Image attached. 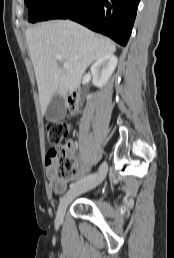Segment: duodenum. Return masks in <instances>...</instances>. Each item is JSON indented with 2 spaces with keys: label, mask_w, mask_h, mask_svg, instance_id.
<instances>
[{
  "label": "duodenum",
  "mask_w": 174,
  "mask_h": 258,
  "mask_svg": "<svg viewBox=\"0 0 174 258\" xmlns=\"http://www.w3.org/2000/svg\"><path fill=\"white\" fill-rule=\"evenodd\" d=\"M67 104L69 107V110L74 114L77 112L78 110V104H79V100H78V94L75 91H72L67 99Z\"/></svg>",
  "instance_id": "410a0bca"
}]
</instances>
